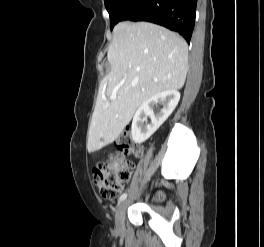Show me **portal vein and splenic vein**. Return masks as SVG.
<instances>
[{
	"mask_svg": "<svg viewBox=\"0 0 264 247\" xmlns=\"http://www.w3.org/2000/svg\"><path fill=\"white\" fill-rule=\"evenodd\" d=\"M117 99V95L116 94H113L112 96H111V100H116Z\"/></svg>",
	"mask_w": 264,
	"mask_h": 247,
	"instance_id": "obj_1",
	"label": "portal vein and splenic vein"
}]
</instances>
